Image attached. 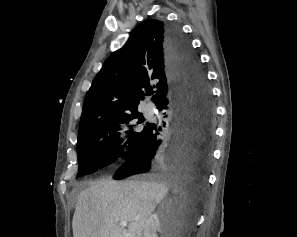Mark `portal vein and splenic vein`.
Here are the masks:
<instances>
[{"instance_id": "portal-vein-and-splenic-vein-1", "label": "portal vein and splenic vein", "mask_w": 297, "mask_h": 237, "mask_svg": "<svg viewBox=\"0 0 297 237\" xmlns=\"http://www.w3.org/2000/svg\"><path fill=\"white\" fill-rule=\"evenodd\" d=\"M138 219H139V217H136L135 218V220H138ZM119 225L124 228V227L127 226V222L126 221H122V222L119 223Z\"/></svg>"}]
</instances>
